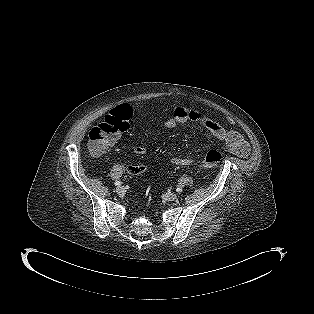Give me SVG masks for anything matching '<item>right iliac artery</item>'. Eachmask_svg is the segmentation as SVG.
Returning a JSON list of instances; mask_svg holds the SVG:
<instances>
[{
    "label": "right iliac artery",
    "mask_w": 314,
    "mask_h": 314,
    "mask_svg": "<svg viewBox=\"0 0 314 314\" xmlns=\"http://www.w3.org/2000/svg\"><path fill=\"white\" fill-rule=\"evenodd\" d=\"M114 184H115L116 186H118V185L121 184V182H120V181H116Z\"/></svg>",
    "instance_id": "1"
}]
</instances>
